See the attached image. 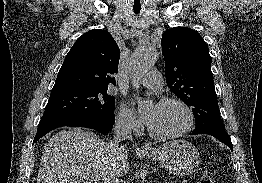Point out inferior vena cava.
I'll return each instance as SVG.
<instances>
[{
	"instance_id": "inferior-vena-cava-1",
	"label": "inferior vena cava",
	"mask_w": 262,
	"mask_h": 183,
	"mask_svg": "<svg viewBox=\"0 0 262 183\" xmlns=\"http://www.w3.org/2000/svg\"><path fill=\"white\" fill-rule=\"evenodd\" d=\"M132 123L129 119H119L116 121L114 126V141L111 143L112 146H119V142L123 140H132L131 135Z\"/></svg>"
}]
</instances>
